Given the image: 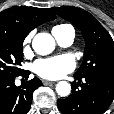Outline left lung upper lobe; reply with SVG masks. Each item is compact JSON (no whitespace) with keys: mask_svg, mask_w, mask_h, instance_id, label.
Listing matches in <instances>:
<instances>
[{"mask_svg":"<svg viewBox=\"0 0 114 114\" xmlns=\"http://www.w3.org/2000/svg\"><path fill=\"white\" fill-rule=\"evenodd\" d=\"M51 10L77 26L85 39L84 59L76 76L114 77V42L108 31L88 12L77 7H53Z\"/></svg>","mask_w":114,"mask_h":114,"instance_id":"1","label":"left lung upper lobe"}]
</instances>
